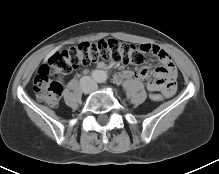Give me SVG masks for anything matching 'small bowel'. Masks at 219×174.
<instances>
[{
  "label": "small bowel",
  "instance_id": "c3829d8e",
  "mask_svg": "<svg viewBox=\"0 0 219 174\" xmlns=\"http://www.w3.org/2000/svg\"><path fill=\"white\" fill-rule=\"evenodd\" d=\"M140 47L143 50L152 52L154 55L158 56L162 65L154 70L153 75L156 80L148 83V90L153 93L160 90L167 98L172 97L176 91L177 69L169 54L158 45L141 44ZM101 66L103 65L101 64ZM130 77H135L138 80L144 81L148 78V71L145 68L136 71L123 70L117 72L113 79L115 82L119 83L123 79Z\"/></svg>",
  "mask_w": 219,
  "mask_h": 174
}]
</instances>
